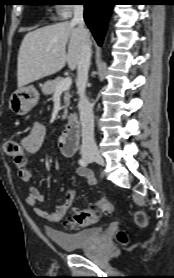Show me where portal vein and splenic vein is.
<instances>
[{
	"label": "portal vein and splenic vein",
	"instance_id": "obj_1",
	"mask_svg": "<svg viewBox=\"0 0 174 278\" xmlns=\"http://www.w3.org/2000/svg\"><path fill=\"white\" fill-rule=\"evenodd\" d=\"M72 84V79L70 77H66L61 81L57 87H56V92H62L65 90H68Z\"/></svg>",
	"mask_w": 174,
	"mask_h": 278
}]
</instances>
